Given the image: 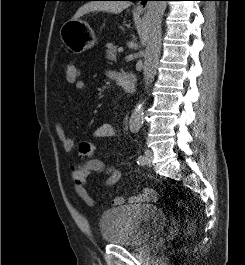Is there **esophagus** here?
<instances>
[{
  "label": "esophagus",
  "instance_id": "34e87169",
  "mask_svg": "<svg viewBox=\"0 0 245 265\" xmlns=\"http://www.w3.org/2000/svg\"><path fill=\"white\" fill-rule=\"evenodd\" d=\"M146 8H147V0H141V1H139V3L137 4L135 10L141 12V11L146 10Z\"/></svg>",
  "mask_w": 245,
  "mask_h": 265
}]
</instances>
